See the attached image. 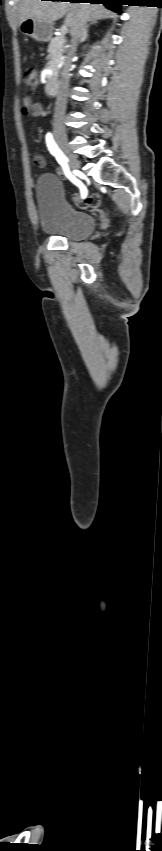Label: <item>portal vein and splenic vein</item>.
Instances as JSON below:
<instances>
[{"label": "portal vein and splenic vein", "mask_w": 162, "mask_h": 851, "mask_svg": "<svg viewBox=\"0 0 162 851\" xmlns=\"http://www.w3.org/2000/svg\"><path fill=\"white\" fill-rule=\"evenodd\" d=\"M67 32H68V27H67V25H63V26L61 27V33H62V34H66Z\"/></svg>", "instance_id": "obj_1"}]
</instances>
